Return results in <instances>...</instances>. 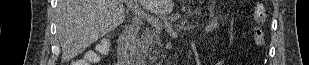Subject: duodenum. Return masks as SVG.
I'll return each mask as SVG.
<instances>
[{"label":"duodenum","instance_id":"obj_1","mask_svg":"<svg viewBox=\"0 0 309 65\" xmlns=\"http://www.w3.org/2000/svg\"><path fill=\"white\" fill-rule=\"evenodd\" d=\"M136 30L134 27L125 29L119 37L117 60L118 65H135L132 61V50L135 42Z\"/></svg>","mask_w":309,"mask_h":65}]
</instances>
